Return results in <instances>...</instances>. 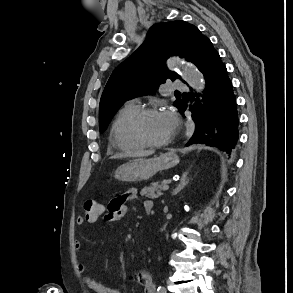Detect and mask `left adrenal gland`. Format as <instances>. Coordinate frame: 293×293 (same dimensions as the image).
Segmentation results:
<instances>
[{
  "label": "left adrenal gland",
  "instance_id": "obj_1",
  "mask_svg": "<svg viewBox=\"0 0 293 293\" xmlns=\"http://www.w3.org/2000/svg\"><path fill=\"white\" fill-rule=\"evenodd\" d=\"M187 176H188V171H186L182 175L178 186L172 191V196L177 195L189 183V179Z\"/></svg>",
  "mask_w": 293,
  "mask_h": 293
}]
</instances>
